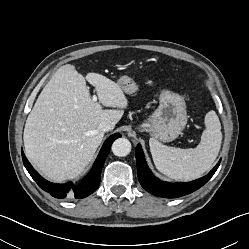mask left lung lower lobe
<instances>
[{
	"label": "left lung lower lobe",
	"mask_w": 249,
	"mask_h": 249,
	"mask_svg": "<svg viewBox=\"0 0 249 249\" xmlns=\"http://www.w3.org/2000/svg\"><path fill=\"white\" fill-rule=\"evenodd\" d=\"M136 161L138 179L142 187L149 193L164 198L181 197L199 189L209 181L220 164L219 161L217 165L206 176L200 179L187 183L171 184L168 182H163L153 175L146 163L144 153L140 145L136 147Z\"/></svg>",
	"instance_id": "obj_1"
}]
</instances>
